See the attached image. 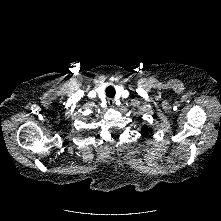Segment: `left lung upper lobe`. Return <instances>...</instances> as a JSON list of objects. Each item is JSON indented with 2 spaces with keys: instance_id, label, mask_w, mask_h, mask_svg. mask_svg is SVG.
<instances>
[{
  "instance_id": "1",
  "label": "left lung upper lobe",
  "mask_w": 221,
  "mask_h": 221,
  "mask_svg": "<svg viewBox=\"0 0 221 221\" xmlns=\"http://www.w3.org/2000/svg\"><path fill=\"white\" fill-rule=\"evenodd\" d=\"M147 130H148L147 127L142 128V131L144 132V134H146Z\"/></svg>"
}]
</instances>
